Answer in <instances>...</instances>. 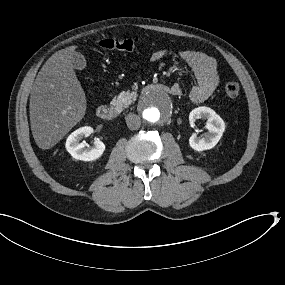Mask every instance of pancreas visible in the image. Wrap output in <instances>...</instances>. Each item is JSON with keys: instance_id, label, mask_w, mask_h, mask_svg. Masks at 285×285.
<instances>
[{"instance_id": "obj_1", "label": "pancreas", "mask_w": 285, "mask_h": 285, "mask_svg": "<svg viewBox=\"0 0 285 285\" xmlns=\"http://www.w3.org/2000/svg\"><path fill=\"white\" fill-rule=\"evenodd\" d=\"M138 98V93L133 91L120 92L115 97L111 98L108 107L111 110L116 109V111H122L124 108H127L131 103L136 102Z\"/></svg>"}]
</instances>
